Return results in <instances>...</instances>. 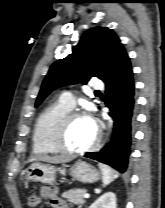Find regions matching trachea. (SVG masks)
Returning a JSON list of instances; mask_svg holds the SVG:
<instances>
[{
  "instance_id": "3493384b",
  "label": "trachea",
  "mask_w": 165,
  "mask_h": 208,
  "mask_svg": "<svg viewBox=\"0 0 165 208\" xmlns=\"http://www.w3.org/2000/svg\"><path fill=\"white\" fill-rule=\"evenodd\" d=\"M95 94H96V95H99V94H101V93H100L99 91H96Z\"/></svg>"
}]
</instances>
